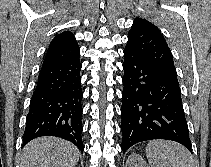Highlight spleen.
<instances>
[{"instance_id":"1","label":"spleen","mask_w":211,"mask_h":167,"mask_svg":"<svg viewBox=\"0 0 211 167\" xmlns=\"http://www.w3.org/2000/svg\"><path fill=\"white\" fill-rule=\"evenodd\" d=\"M146 156L151 167H195L189 150L169 140L150 141Z\"/></svg>"}]
</instances>
